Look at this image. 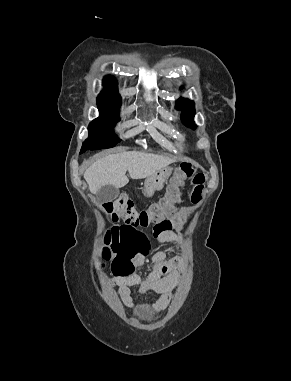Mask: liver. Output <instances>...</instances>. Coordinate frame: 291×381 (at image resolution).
Masks as SVG:
<instances>
[{
  "instance_id": "1",
  "label": "liver",
  "mask_w": 291,
  "mask_h": 381,
  "mask_svg": "<svg viewBox=\"0 0 291 381\" xmlns=\"http://www.w3.org/2000/svg\"><path fill=\"white\" fill-rule=\"evenodd\" d=\"M174 159L138 151L109 154L93 163L84 173L91 193L96 194L105 185L117 188L125 186L129 179L147 178L166 168Z\"/></svg>"
}]
</instances>
